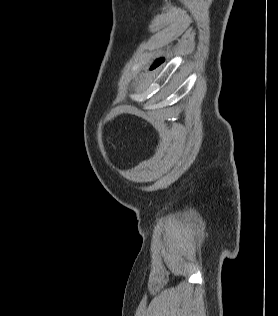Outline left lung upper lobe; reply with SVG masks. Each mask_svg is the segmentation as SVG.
<instances>
[{
	"label": "left lung upper lobe",
	"mask_w": 278,
	"mask_h": 316,
	"mask_svg": "<svg viewBox=\"0 0 278 316\" xmlns=\"http://www.w3.org/2000/svg\"><path fill=\"white\" fill-rule=\"evenodd\" d=\"M159 60H160V59H159ZM159 60H157V61L155 62L154 66L158 63ZM154 66H153L152 68H155Z\"/></svg>",
	"instance_id": "5c2ea615"
}]
</instances>
